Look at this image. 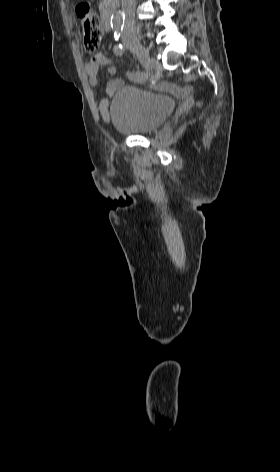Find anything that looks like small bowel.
I'll return each mask as SVG.
<instances>
[{
	"label": "small bowel",
	"instance_id": "c3829d8e",
	"mask_svg": "<svg viewBox=\"0 0 280 472\" xmlns=\"http://www.w3.org/2000/svg\"><path fill=\"white\" fill-rule=\"evenodd\" d=\"M100 67H107V71L110 75H114L117 72V68L112 64L111 60L102 53H96L85 63L84 70L88 76V82L91 87L98 85V71ZM129 78L132 81H139L135 77V72L129 74ZM123 85V81L120 79L108 80L105 84L106 97L102 98L99 102V112L102 117H108L109 100L108 97L114 95V93ZM159 88L168 92H177V88L168 81H163L159 84Z\"/></svg>",
	"mask_w": 280,
	"mask_h": 472
}]
</instances>
